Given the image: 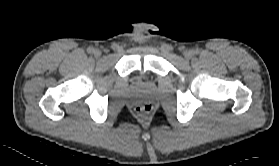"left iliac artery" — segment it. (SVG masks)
Returning <instances> with one entry per match:
<instances>
[{
    "instance_id": "1",
    "label": "left iliac artery",
    "mask_w": 279,
    "mask_h": 166,
    "mask_svg": "<svg viewBox=\"0 0 279 166\" xmlns=\"http://www.w3.org/2000/svg\"><path fill=\"white\" fill-rule=\"evenodd\" d=\"M198 52H199L198 50H195V51H194L195 54H197Z\"/></svg>"
}]
</instances>
